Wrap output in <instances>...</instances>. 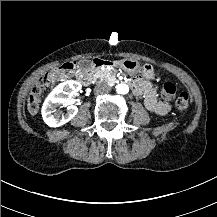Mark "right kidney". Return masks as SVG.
Wrapping results in <instances>:
<instances>
[{"label": "right kidney", "instance_id": "ca27d5eb", "mask_svg": "<svg viewBox=\"0 0 217 217\" xmlns=\"http://www.w3.org/2000/svg\"><path fill=\"white\" fill-rule=\"evenodd\" d=\"M82 85L75 80H68L64 83H60L45 99L42 106V117L44 122L50 127H59L70 121L78 112V108L75 105L69 104L70 98L79 90ZM63 104L67 106V112L64 114L57 107Z\"/></svg>", "mask_w": 217, "mask_h": 217}]
</instances>
